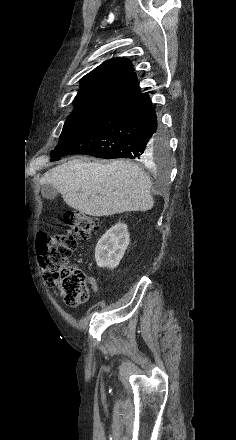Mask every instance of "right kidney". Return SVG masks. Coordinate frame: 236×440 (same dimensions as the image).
<instances>
[{
    "label": "right kidney",
    "instance_id": "ca27d5eb",
    "mask_svg": "<svg viewBox=\"0 0 236 440\" xmlns=\"http://www.w3.org/2000/svg\"><path fill=\"white\" fill-rule=\"evenodd\" d=\"M130 243L127 225L117 223L98 241L95 248V260L99 267L113 269L117 267Z\"/></svg>",
    "mask_w": 236,
    "mask_h": 440
}]
</instances>
